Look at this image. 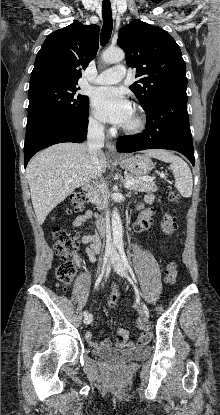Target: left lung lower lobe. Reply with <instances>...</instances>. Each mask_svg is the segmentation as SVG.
<instances>
[{
	"label": "left lung lower lobe",
	"instance_id": "1",
	"mask_svg": "<svg viewBox=\"0 0 220 415\" xmlns=\"http://www.w3.org/2000/svg\"><path fill=\"white\" fill-rule=\"evenodd\" d=\"M186 90L161 93L146 108V128L138 135L122 136L116 147L119 152L145 149L175 150L185 155L194 166V149L187 112Z\"/></svg>",
	"mask_w": 220,
	"mask_h": 415
}]
</instances>
